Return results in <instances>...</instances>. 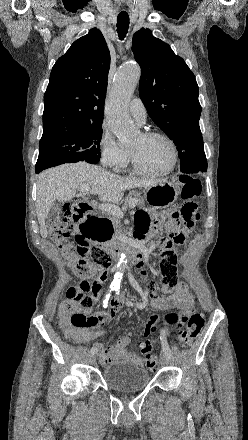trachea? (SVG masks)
I'll return each mask as SVG.
<instances>
[{"label":"trachea","mask_w":248,"mask_h":440,"mask_svg":"<svg viewBox=\"0 0 248 440\" xmlns=\"http://www.w3.org/2000/svg\"><path fill=\"white\" fill-rule=\"evenodd\" d=\"M129 28V16L127 14H119L117 18V32L120 40L126 37Z\"/></svg>","instance_id":"3493384b"}]
</instances>
